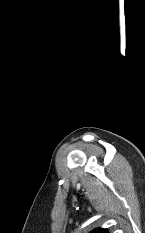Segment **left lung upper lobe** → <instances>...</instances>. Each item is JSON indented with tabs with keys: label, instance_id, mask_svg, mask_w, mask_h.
Here are the masks:
<instances>
[{
	"label": "left lung upper lobe",
	"instance_id": "obj_1",
	"mask_svg": "<svg viewBox=\"0 0 145 233\" xmlns=\"http://www.w3.org/2000/svg\"><path fill=\"white\" fill-rule=\"evenodd\" d=\"M91 233H108V231L106 229L99 228V229H95Z\"/></svg>",
	"mask_w": 145,
	"mask_h": 233
}]
</instances>
